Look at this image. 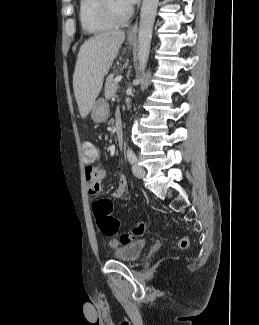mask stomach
<instances>
[{
    "mask_svg": "<svg viewBox=\"0 0 259 325\" xmlns=\"http://www.w3.org/2000/svg\"><path fill=\"white\" fill-rule=\"evenodd\" d=\"M129 44H132V40H128ZM109 115V105L106 100L100 98L94 102L92 107L91 117L94 122L101 123L107 120Z\"/></svg>",
    "mask_w": 259,
    "mask_h": 325,
    "instance_id": "stomach-1",
    "label": "stomach"
}]
</instances>
